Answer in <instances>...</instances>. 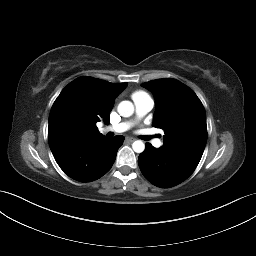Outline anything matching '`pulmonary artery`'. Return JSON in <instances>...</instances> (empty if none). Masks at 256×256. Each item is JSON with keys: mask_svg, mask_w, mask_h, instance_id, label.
I'll return each mask as SVG.
<instances>
[{"mask_svg": "<svg viewBox=\"0 0 256 256\" xmlns=\"http://www.w3.org/2000/svg\"><path fill=\"white\" fill-rule=\"evenodd\" d=\"M134 103H135L136 114L138 118H142L143 116H145L148 112L152 110L154 106V102L151 98L136 100L134 101ZM131 126H132L131 122H121V123L113 124L110 126H106L102 129V131L122 133L130 129ZM152 143L155 147H160L162 145V140L154 139Z\"/></svg>", "mask_w": 256, "mask_h": 256, "instance_id": "1", "label": "pulmonary artery"}]
</instances>
